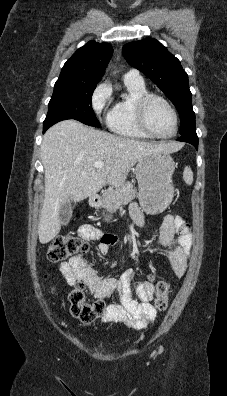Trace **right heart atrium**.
<instances>
[{
    "mask_svg": "<svg viewBox=\"0 0 227 396\" xmlns=\"http://www.w3.org/2000/svg\"><path fill=\"white\" fill-rule=\"evenodd\" d=\"M111 100V91L105 83L99 84L91 96V106L98 117L108 116V105Z\"/></svg>",
    "mask_w": 227,
    "mask_h": 396,
    "instance_id": "d8ad5b80",
    "label": "right heart atrium"
}]
</instances>
